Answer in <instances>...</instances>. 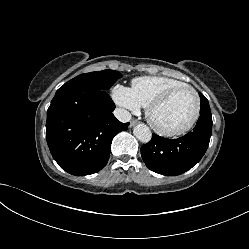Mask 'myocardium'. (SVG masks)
Returning a JSON list of instances; mask_svg holds the SVG:
<instances>
[{"mask_svg": "<svg viewBox=\"0 0 249 249\" xmlns=\"http://www.w3.org/2000/svg\"><path fill=\"white\" fill-rule=\"evenodd\" d=\"M181 90H190L195 96L196 105H195V110H194L193 116L190 119V121L182 128L177 129V130H165L155 123V121L153 120V112L158 107H160V106L164 105L166 102H168L172 98L173 95H175L177 92H179ZM200 110H201V99H200L199 93L196 91V89L194 87H192L188 84H184V85L175 86V87L169 89L168 91L163 93L161 96H159L158 98L153 100L147 106L146 117H147V120H148L150 126L157 133H159L163 136H167V137H175V136H180V135L187 133L188 131H190L194 127V125L196 124V122L200 116Z\"/></svg>", "mask_w": 249, "mask_h": 249, "instance_id": "myocardium-1", "label": "myocardium"}]
</instances>
